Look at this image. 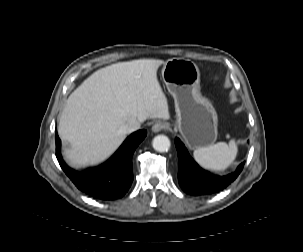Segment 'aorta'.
Returning a JSON list of instances; mask_svg holds the SVG:
<instances>
[{"label": "aorta", "mask_w": 303, "mask_h": 252, "mask_svg": "<svg viewBox=\"0 0 303 252\" xmlns=\"http://www.w3.org/2000/svg\"><path fill=\"white\" fill-rule=\"evenodd\" d=\"M171 142L165 135H157L152 141L153 148L158 152L167 151L170 148Z\"/></svg>", "instance_id": "obj_1"}]
</instances>
